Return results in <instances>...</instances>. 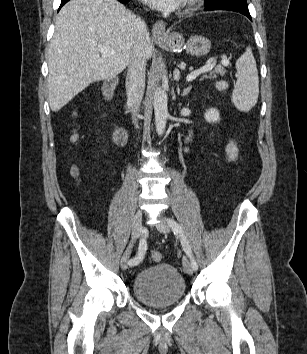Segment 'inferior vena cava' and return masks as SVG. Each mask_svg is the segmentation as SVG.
Here are the masks:
<instances>
[{"label":"inferior vena cava","mask_w":307,"mask_h":354,"mask_svg":"<svg viewBox=\"0 0 307 354\" xmlns=\"http://www.w3.org/2000/svg\"><path fill=\"white\" fill-rule=\"evenodd\" d=\"M136 32V43L133 48L126 77V93L131 105L133 122L135 124L137 123L136 114L145 90V43L149 35L146 23L140 18L136 20Z\"/></svg>","instance_id":"602c4592"}]
</instances>
